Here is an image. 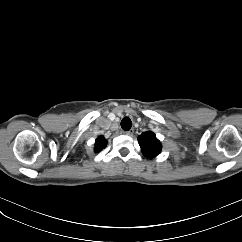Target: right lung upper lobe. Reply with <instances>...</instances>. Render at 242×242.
<instances>
[{
  "label": "right lung upper lobe",
  "instance_id": "right-lung-upper-lobe-1",
  "mask_svg": "<svg viewBox=\"0 0 242 242\" xmlns=\"http://www.w3.org/2000/svg\"><path fill=\"white\" fill-rule=\"evenodd\" d=\"M106 145L107 140L103 136L98 137L95 142V152H100Z\"/></svg>",
  "mask_w": 242,
  "mask_h": 242
}]
</instances>
